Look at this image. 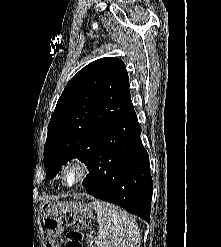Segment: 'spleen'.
<instances>
[{
    "label": "spleen",
    "instance_id": "spleen-1",
    "mask_svg": "<svg viewBox=\"0 0 221 247\" xmlns=\"http://www.w3.org/2000/svg\"><path fill=\"white\" fill-rule=\"evenodd\" d=\"M103 247H140V232L135 219L118 206L94 202Z\"/></svg>",
    "mask_w": 221,
    "mask_h": 247
}]
</instances>
